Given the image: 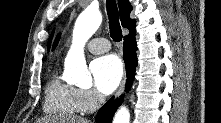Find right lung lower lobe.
I'll return each mask as SVG.
<instances>
[{
    "label": "right lung lower lobe",
    "mask_w": 221,
    "mask_h": 123,
    "mask_svg": "<svg viewBox=\"0 0 221 123\" xmlns=\"http://www.w3.org/2000/svg\"><path fill=\"white\" fill-rule=\"evenodd\" d=\"M136 50L137 46L135 34L125 36L123 45V58L125 61L127 71L126 91H129V88L135 75V68L137 66ZM122 100V96L120 98V101H114V97H112L104 106H102V108L98 111L96 116L97 123H111L113 115Z\"/></svg>",
    "instance_id": "obj_1"
}]
</instances>
